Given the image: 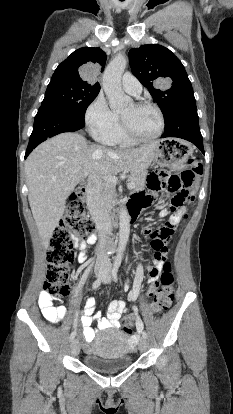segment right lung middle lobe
<instances>
[{"label":"right lung middle lobe","instance_id":"right-lung-middle-lobe-1","mask_svg":"<svg viewBox=\"0 0 233 414\" xmlns=\"http://www.w3.org/2000/svg\"><path fill=\"white\" fill-rule=\"evenodd\" d=\"M100 87H90L61 79H51L42 105H51L72 114L85 116L89 104L96 98Z\"/></svg>","mask_w":233,"mask_h":414}]
</instances>
